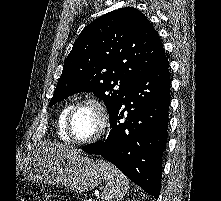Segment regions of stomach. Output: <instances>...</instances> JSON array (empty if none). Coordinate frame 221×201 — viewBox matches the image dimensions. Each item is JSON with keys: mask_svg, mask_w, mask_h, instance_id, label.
Returning a JSON list of instances; mask_svg holds the SVG:
<instances>
[{"mask_svg": "<svg viewBox=\"0 0 221 201\" xmlns=\"http://www.w3.org/2000/svg\"><path fill=\"white\" fill-rule=\"evenodd\" d=\"M23 176L28 181L62 184L82 193L98 186L103 172L96 162L76 151L59 152L43 148L27 157Z\"/></svg>", "mask_w": 221, "mask_h": 201, "instance_id": "1", "label": "stomach"}]
</instances>
